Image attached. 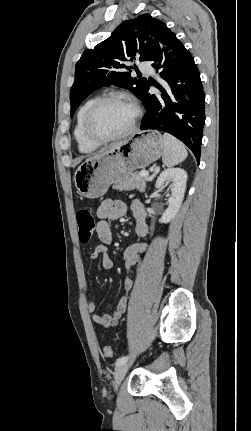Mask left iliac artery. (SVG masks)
<instances>
[{
    "instance_id": "left-iliac-artery-1",
    "label": "left iliac artery",
    "mask_w": 251,
    "mask_h": 431,
    "mask_svg": "<svg viewBox=\"0 0 251 431\" xmlns=\"http://www.w3.org/2000/svg\"><path fill=\"white\" fill-rule=\"evenodd\" d=\"M127 360H128V356L120 357V358H118V359L116 360L115 365H116V366L122 365V364H124Z\"/></svg>"
}]
</instances>
